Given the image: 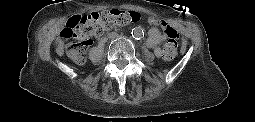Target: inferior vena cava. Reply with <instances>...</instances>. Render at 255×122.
Segmentation results:
<instances>
[{"mask_svg":"<svg viewBox=\"0 0 255 122\" xmlns=\"http://www.w3.org/2000/svg\"><path fill=\"white\" fill-rule=\"evenodd\" d=\"M118 36H119V35H118V33H116V32H111V33L108 34L109 39H115V38H117Z\"/></svg>","mask_w":255,"mask_h":122,"instance_id":"obj_1","label":"inferior vena cava"}]
</instances>
